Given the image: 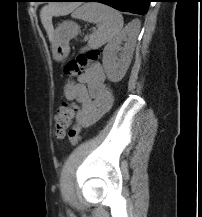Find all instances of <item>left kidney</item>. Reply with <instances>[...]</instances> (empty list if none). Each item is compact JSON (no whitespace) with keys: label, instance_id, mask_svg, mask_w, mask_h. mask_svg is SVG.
Here are the masks:
<instances>
[{"label":"left kidney","instance_id":"left-kidney-1","mask_svg":"<svg viewBox=\"0 0 202 217\" xmlns=\"http://www.w3.org/2000/svg\"><path fill=\"white\" fill-rule=\"evenodd\" d=\"M137 33L138 30L129 25L105 46L102 62L107 78L111 82L117 83L125 76L133 57ZM127 35L129 38L121 47V43Z\"/></svg>","mask_w":202,"mask_h":217}]
</instances>
